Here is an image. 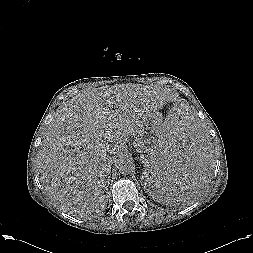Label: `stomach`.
Instances as JSON below:
<instances>
[{"mask_svg":"<svg viewBox=\"0 0 253 253\" xmlns=\"http://www.w3.org/2000/svg\"><path fill=\"white\" fill-rule=\"evenodd\" d=\"M163 121L161 114L157 113L146 122L134 142V147L139 152L146 153L147 156L150 154L154 141L161 133Z\"/></svg>","mask_w":253,"mask_h":253,"instance_id":"stomach-1","label":"stomach"}]
</instances>
